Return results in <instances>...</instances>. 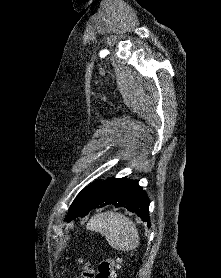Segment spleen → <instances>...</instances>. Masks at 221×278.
<instances>
[{
	"label": "spleen",
	"mask_w": 221,
	"mask_h": 278,
	"mask_svg": "<svg viewBox=\"0 0 221 278\" xmlns=\"http://www.w3.org/2000/svg\"><path fill=\"white\" fill-rule=\"evenodd\" d=\"M87 229L105 236L108 244L119 251H129L139 245L135 223L121 213L107 211L97 214L90 219Z\"/></svg>",
	"instance_id": "1"
}]
</instances>
